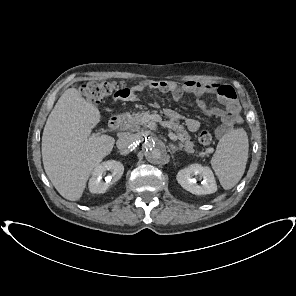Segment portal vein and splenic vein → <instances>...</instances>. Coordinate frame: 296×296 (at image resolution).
I'll use <instances>...</instances> for the list:
<instances>
[{"instance_id": "portal-vein-and-splenic-vein-1", "label": "portal vein and splenic vein", "mask_w": 296, "mask_h": 296, "mask_svg": "<svg viewBox=\"0 0 296 296\" xmlns=\"http://www.w3.org/2000/svg\"><path fill=\"white\" fill-rule=\"evenodd\" d=\"M143 122H149V121H156V122H162L160 117L156 114H152V115H145L143 117ZM163 124V123H162ZM169 138L173 141L177 140V136L174 133H169Z\"/></svg>"}]
</instances>
